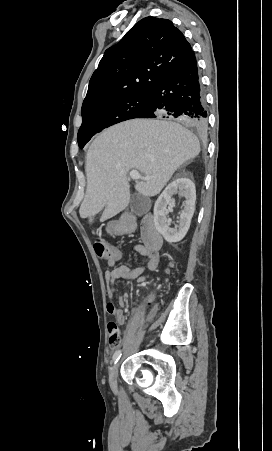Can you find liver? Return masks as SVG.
Segmentation results:
<instances>
[{"mask_svg": "<svg viewBox=\"0 0 272 451\" xmlns=\"http://www.w3.org/2000/svg\"><path fill=\"white\" fill-rule=\"evenodd\" d=\"M200 152L197 136L166 120H128L101 132L86 156L87 190L80 206L81 218L100 222L113 218L130 202L129 170H139L148 180L136 182L142 196L160 194L183 162Z\"/></svg>", "mask_w": 272, "mask_h": 451, "instance_id": "obj_1", "label": "liver"}]
</instances>
